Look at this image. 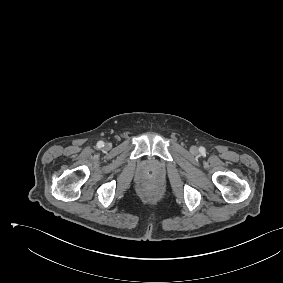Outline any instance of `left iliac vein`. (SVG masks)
<instances>
[{
	"mask_svg": "<svg viewBox=\"0 0 283 283\" xmlns=\"http://www.w3.org/2000/svg\"><path fill=\"white\" fill-rule=\"evenodd\" d=\"M190 150L194 154L197 153V147L196 146H192Z\"/></svg>",
	"mask_w": 283,
	"mask_h": 283,
	"instance_id": "1",
	"label": "left iliac vein"
}]
</instances>
